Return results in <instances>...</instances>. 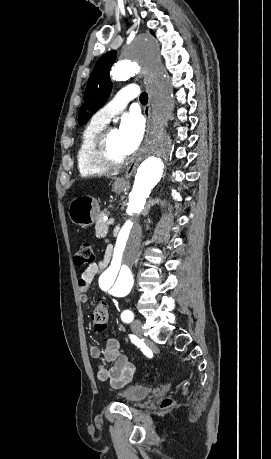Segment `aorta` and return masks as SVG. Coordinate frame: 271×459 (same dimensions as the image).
<instances>
[{
  "mask_svg": "<svg viewBox=\"0 0 271 459\" xmlns=\"http://www.w3.org/2000/svg\"><path fill=\"white\" fill-rule=\"evenodd\" d=\"M140 71L149 75L154 125L129 193L113 257L99 278L101 289L116 297L127 295L133 287L131 269L139 257L141 216L145 215L147 198L171 160V140L164 127L173 111L172 82L160 61L158 46L149 37L137 38L128 50V58L116 63L110 74L113 80L124 81Z\"/></svg>",
  "mask_w": 271,
  "mask_h": 459,
  "instance_id": "aorta-1",
  "label": "aorta"
}]
</instances>
